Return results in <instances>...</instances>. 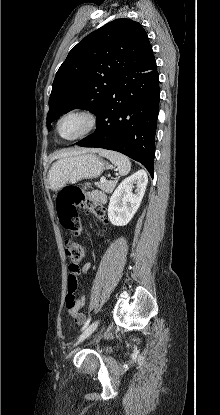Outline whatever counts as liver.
<instances>
[{
    "instance_id": "1",
    "label": "liver",
    "mask_w": 220,
    "mask_h": 415,
    "mask_svg": "<svg viewBox=\"0 0 220 415\" xmlns=\"http://www.w3.org/2000/svg\"><path fill=\"white\" fill-rule=\"evenodd\" d=\"M77 153H79V152L63 153V154H60L59 155V158H63V157H66V156L76 155Z\"/></svg>"
}]
</instances>
